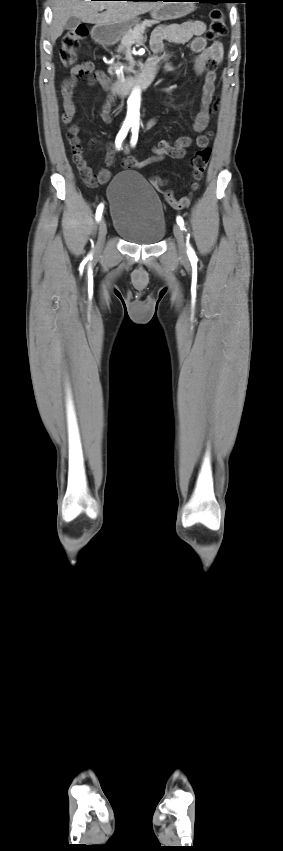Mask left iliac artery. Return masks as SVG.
<instances>
[{
  "label": "left iliac artery",
  "mask_w": 283,
  "mask_h": 851,
  "mask_svg": "<svg viewBox=\"0 0 283 851\" xmlns=\"http://www.w3.org/2000/svg\"><path fill=\"white\" fill-rule=\"evenodd\" d=\"M138 130H139V124H133L132 125V137H131V145L132 146H135V144L137 143ZM177 223L184 230V220H183L182 217H180V216L177 217ZM187 253H188L189 258L195 257L194 250L190 246L188 247Z\"/></svg>",
  "instance_id": "1"
}]
</instances>
